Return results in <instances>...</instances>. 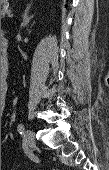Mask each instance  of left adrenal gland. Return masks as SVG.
<instances>
[{
    "label": "left adrenal gland",
    "instance_id": "1",
    "mask_svg": "<svg viewBox=\"0 0 109 170\" xmlns=\"http://www.w3.org/2000/svg\"><path fill=\"white\" fill-rule=\"evenodd\" d=\"M30 7H31V4L28 5V6L26 7L25 11H24V15H23V20H22L21 27H25V26L29 23V21L31 20V18L33 17V15H32V16H28V12H29Z\"/></svg>",
    "mask_w": 109,
    "mask_h": 170
}]
</instances>
